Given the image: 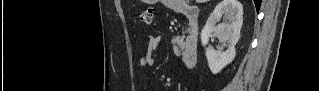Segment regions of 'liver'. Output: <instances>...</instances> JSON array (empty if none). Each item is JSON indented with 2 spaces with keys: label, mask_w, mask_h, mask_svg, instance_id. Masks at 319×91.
<instances>
[{
  "label": "liver",
  "mask_w": 319,
  "mask_h": 91,
  "mask_svg": "<svg viewBox=\"0 0 319 91\" xmlns=\"http://www.w3.org/2000/svg\"><path fill=\"white\" fill-rule=\"evenodd\" d=\"M208 0H196L197 3H204V2H207ZM148 2V1H147ZM150 3V2H148Z\"/></svg>",
  "instance_id": "6515ba94"
}]
</instances>
